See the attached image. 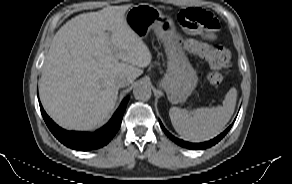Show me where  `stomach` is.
<instances>
[{
	"label": "stomach",
	"instance_id": "0dacf381",
	"mask_svg": "<svg viewBox=\"0 0 292 184\" xmlns=\"http://www.w3.org/2000/svg\"><path fill=\"white\" fill-rule=\"evenodd\" d=\"M125 21L140 38L154 29L158 38L169 47L168 69L160 84L170 102H184L196 86L197 75L181 47L172 44L173 25L164 21L158 9L147 4L130 8Z\"/></svg>",
	"mask_w": 292,
	"mask_h": 184
}]
</instances>
